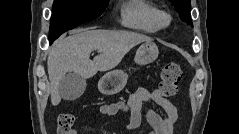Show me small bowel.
Returning a JSON list of instances; mask_svg holds the SVG:
<instances>
[{"mask_svg": "<svg viewBox=\"0 0 239 134\" xmlns=\"http://www.w3.org/2000/svg\"><path fill=\"white\" fill-rule=\"evenodd\" d=\"M146 104H153L163 110V114L153 109H146ZM100 113L107 116L124 112L127 115V127L130 130L139 128L145 119L151 126L149 134H173L178 121V109L157 89H138L127 102L114 101L102 104ZM79 129L72 130L71 134H79Z\"/></svg>", "mask_w": 239, "mask_h": 134, "instance_id": "obj_1", "label": "small bowel"}]
</instances>
